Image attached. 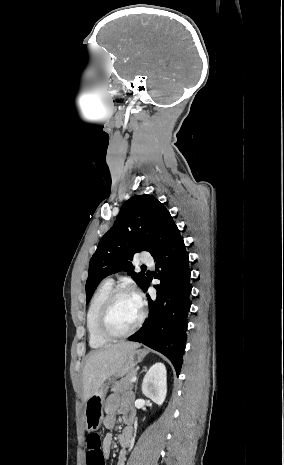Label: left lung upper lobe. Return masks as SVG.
Returning <instances> with one entry per match:
<instances>
[{
	"label": "left lung upper lobe",
	"mask_w": 284,
	"mask_h": 465,
	"mask_svg": "<svg viewBox=\"0 0 284 465\" xmlns=\"http://www.w3.org/2000/svg\"><path fill=\"white\" fill-rule=\"evenodd\" d=\"M167 208L155 197L137 195L122 206L113 227L102 237L89 263L86 282V301L106 276L128 271L141 286L146 276L133 271L135 253L149 251L154 257L168 244L177 230Z\"/></svg>",
	"instance_id": "obj_1"
}]
</instances>
